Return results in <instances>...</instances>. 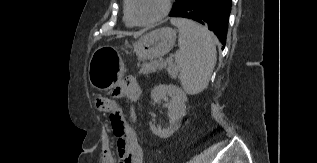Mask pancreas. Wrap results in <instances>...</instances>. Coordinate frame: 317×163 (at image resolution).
Instances as JSON below:
<instances>
[{"label":"pancreas","instance_id":"obj_1","mask_svg":"<svg viewBox=\"0 0 317 163\" xmlns=\"http://www.w3.org/2000/svg\"><path fill=\"white\" fill-rule=\"evenodd\" d=\"M140 73L148 74L151 72H156L157 70H161L163 68L171 71L172 66L169 61L160 62V61H151V62H144L141 65Z\"/></svg>","mask_w":317,"mask_h":163}]
</instances>
